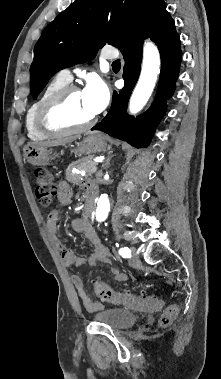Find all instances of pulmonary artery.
<instances>
[{
    "label": "pulmonary artery",
    "instance_id": "pulmonary-artery-1",
    "mask_svg": "<svg viewBox=\"0 0 221 379\" xmlns=\"http://www.w3.org/2000/svg\"><path fill=\"white\" fill-rule=\"evenodd\" d=\"M102 57L108 60L116 59L118 52L114 49H105L102 51ZM57 77L68 83L72 79V74L69 69H62L58 72Z\"/></svg>",
    "mask_w": 221,
    "mask_h": 379
}]
</instances>
